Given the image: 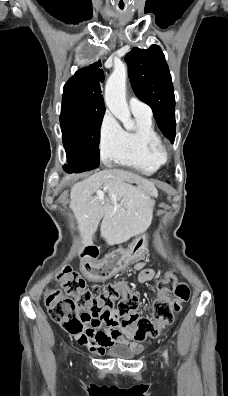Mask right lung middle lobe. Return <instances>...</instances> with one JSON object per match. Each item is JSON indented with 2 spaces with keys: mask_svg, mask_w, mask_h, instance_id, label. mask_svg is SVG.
Wrapping results in <instances>:
<instances>
[{
  "mask_svg": "<svg viewBox=\"0 0 228 396\" xmlns=\"http://www.w3.org/2000/svg\"><path fill=\"white\" fill-rule=\"evenodd\" d=\"M104 109L86 110L71 99H62L60 124L68 173H80L99 166L100 127Z\"/></svg>",
  "mask_w": 228,
  "mask_h": 396,
  "instance_id": "1",
  "label": "right lung middle lobe"
}]
</instances>
